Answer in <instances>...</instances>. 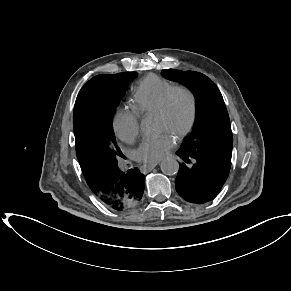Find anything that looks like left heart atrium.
<instances>
[{
	"label": "left heart atrium",
	"instance_id": "1",
	"mask_svg": "<svg viewBox=\"0 0 291 291\" xmlns=\"http://www.w3.org/2000/svg\"><path fill=\"white\" fill-rule=\"evenodd\" d=\"M173 145L174 138L168 132L145 138L135 151V158L146 163L157 162L168 154Z\"/></svg>",
	"mask_w": 291,
	"mask_h": 291
}]
</instances>
